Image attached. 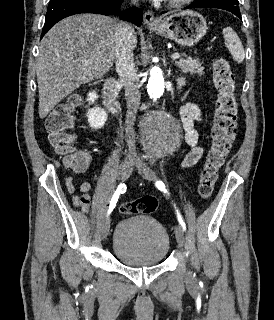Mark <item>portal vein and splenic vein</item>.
I'll return each instance as SVG.
<instances>
[{
  "label": "portal vein and splenic vein",
  "instance_id": "18ae733b",
  "mask_svg": "<svg viewBox=\"0 0 274 320\" xmlns=\"http://www.w3.org/2000/svg\"><path fill=\"white\" fill-rule=\"evenodd\" d=\"M171 58L172 60H178V58H180V54H172Z\"/></svg>",
  "mask_w": 274,
  "mask_h": 320
}]
</instances>
